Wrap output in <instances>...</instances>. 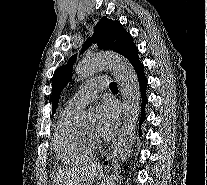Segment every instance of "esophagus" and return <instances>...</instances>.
<instances>
[{"label": "esophagus", "mask_w": 207, "mask_h": 185, "mask_svg": "<svg viewBox=\"0 0 207 185\" xmlns=\"http://www.w3.org/2000/svg\"><path fill=\"white\" fill-rule=\"evenodd\" d=\"M124 123H125V120H124V119H121V120H120L119 127H120V128H123V127H124ZM109 157H114L112 152H110V153L108 154V156L106 157V160L103 162V164H101V169H103L105 172H107V170H108V166H109ZM115 166H118V165H115ZM108 179H109V178H108Z\"/></svg>", "instance_id": "34e87169"}]
</instances>
